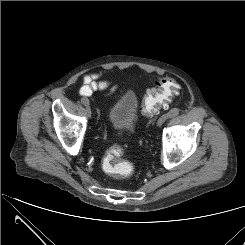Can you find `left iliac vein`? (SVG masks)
<instances>
[{"instance_id":"obj_1","label":"left iliac vein","mask_w":245,"mask_h":245,"mask_svg":"<svg viewBox=\"0 0 245 245\" xmlns=\"http://www.w3.org/2000/svg\"><path fill=\"white\" fill-rule=\"evenodd\" d=\"M168 118H169V115H168V114L162 115V116L159 118V120H158V122H157V125H158L159 127H161V126L168 120Z\"/></svg>"}]
</instances>
